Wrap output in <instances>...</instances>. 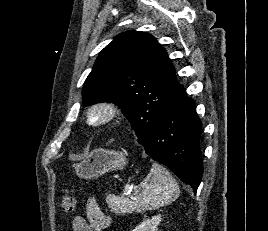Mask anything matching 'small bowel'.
<instances>
[{
  "mask_svg": "<svg viewBox=\"0 0 268 231\" xmlns=\"http://www.w3.org/2000/svg\"><path fill=\"white\" fill-rule=\"evenodd\" d=\"M111 222L110 215L104 211L94 196L86 201V218L76 217L73 221V231H103Z\"/></svg>",
  "mask_w": 268,
  "mask_h": 231,
  "instance_id": "1",
  "label": "small bowel"
}]
</instances>
